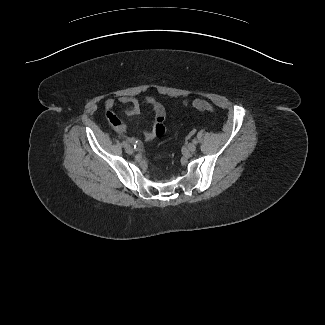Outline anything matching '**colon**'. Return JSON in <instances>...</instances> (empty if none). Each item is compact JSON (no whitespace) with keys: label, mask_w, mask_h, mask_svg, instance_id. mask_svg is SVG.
I'll return each mask as SVG.
<instances>
[{"label":"colon","mask_w":325,"mask_h":325,"mask_svg":"<svg viewBox=\"0 0 325 325\" xmlns=\"http://www.w3.org/2000/svg\"><path fill=\"white\" fill-rule=\"evenodd\" d=\"M186 105H191L192 107L198 110L214 112L213 106L210 103L201 99H196L193 100L192 102H187Z\"/></svg>","instance_id":"obj_1"}]
</instances>
